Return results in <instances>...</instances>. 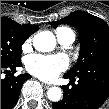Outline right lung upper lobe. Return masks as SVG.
<instances>
[{"instance_id": "1", "label": "right lung upper lobe", "mask_w": 109, "mask_h": 109, "mask_svg": "<svg viewBox=\"0 0 109 109\" xmlns=\"http://www.w3.org/2000/svg\"><path fill=\"white\" fill-rule=\"evenodd\" d=\"M1 21H13V20H11L7 17H2ZM13 22H15V21H13ZM15 23H17V22H15ZM18 25H20V24H18ZM20 26L23 27V29L26 31L28 36L32 35L33 33H35L39 29L38 25H20Z\"/></svg>"}]
</instances>
